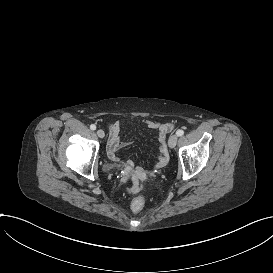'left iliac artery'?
I'll return each instance as SVG.
<instances>
[{"instance_id": "1", "label": "left iliac artery", "mask_w": 273, "mask_h": 273, "mask_svg": "<svg viewBox=\"0 0 273 273\" xmlns=\"http://www.w3.org/2000/svg\"><path fill=\"white\" fill-rule=\"evenodd\" d=\"M177 136H182L184 134V131L182 129L177 130L176 132Z\"/></svg>"}]
</instances>
